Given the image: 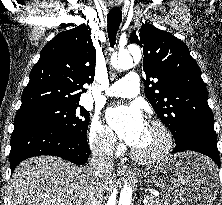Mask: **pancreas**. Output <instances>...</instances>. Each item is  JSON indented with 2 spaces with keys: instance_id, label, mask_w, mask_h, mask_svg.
Listing matches in <instances>:
<instances>
[{
  "instance_id": "1",
  "label": "pancreas",
  "mask_w": 222,
  "mask_h": 205,
  "mask_svg": "<svg viewBox=\"0 0 222 205\" xmlns=\"http://www.w3.org/2000/svg\"><path fill=\"white\" fill-rule=\"evenodd\" d=\"M144 203L145 205H163V202L154 196H145Z\"/></svg>"
}]
</instances>
